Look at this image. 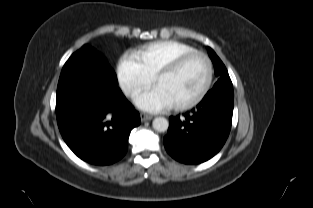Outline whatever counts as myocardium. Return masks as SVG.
<instances>
[{"instance_id": "myocardium-1", "label": "myocardium", "mask_w": 313, "mask_h": 208, "mask_svg": "<svg viewBox=\"0 0 313 208\" xmlns=\"http://www.w3.org/2000/svg\"><path fill=\"white\" fill-rule=\"evenodd\" d=\"M195 57H201L205 60L206 65H207V78L206 81L201 89V91L198 93V95L193 98L192 100L186 102V103H182V104H176L173 105L174 109L176 110H188L191 109L193 107H195L196 105H198L208 94L212 82H213V75H214V71H213V64L211 59L209 58V56L201 51H192V52H187L184 53L182 55H180L179 57H177L176 59H174L172 62H170L168 65L162 67L156 74H155V78L154 81L157 83L159 79H161L162 77L175 73L178 70H180L189 60L195 58Z\"/></svg>"}]
</instances>
